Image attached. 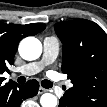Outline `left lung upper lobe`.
I'll use <instances>...</instances> for the list:
<instances>
[{
	"mask_svg": "<svg viewBox=\"0 0 107 107\" xmlns=\"http://www.w3.org/2000/svg\"><path fill=\"white\" fill-rule=\"evenodd\" d=\"M63 43L62 72L89 98L107 95V35L96 23L76 19L58 22Z\"/></svg>",
	"mask_w": 107,
	"mask_h": 107,
	"instance_id": "5c2ea615",
	"label": "left lung upper lobe"
}]
</instances>
